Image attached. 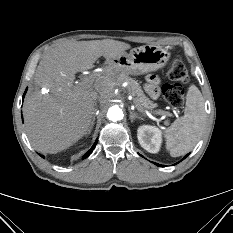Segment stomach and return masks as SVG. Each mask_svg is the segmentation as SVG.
<instances>
[{"label": "stomach", "instance_id": "obj_1", "mask_svg": "<svg viewBox=\"0 0 233 233\" xmlns=\"http://www.w3.org/2000/svg\"><path fill=\"white\" fill-rule=\"evenodd\" d=\"M170 56L168 49L157 45H144L132 49L129 53L123 52L112 59L109 65L127 74L142 75L164 67Z\"/></svg>", "mask_w": 233, "mask_h": 233}]
</instances>
